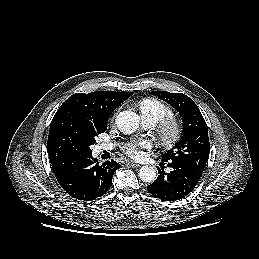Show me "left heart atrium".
<instances>
[{
    "instance_id": "1",
    "label": "left heart atrium",
    "mask_w": 259,
    "mask_h": 259,
    "mask_svg": "<svg viewBox=\"0 0 259 259\" xmlns=\"http://www.w3.org/2000/svg\"><path fill=\"white\" fill-rule=\"evenodd\" d=\"M147 146L148 144L144 141L134 142V143L128 144L124 150L128 156H130L131 158L137 159L142 156V152L140 148H145Z\"/></svg>"
}]
</instances>
